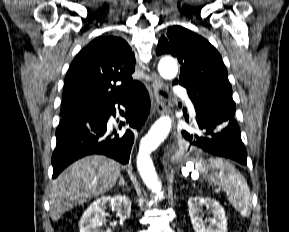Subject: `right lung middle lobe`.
<instances>
[{
  "instance_id": "1",
  "label": "right lung middle lobe",
  "mask_w": 289,
  "mask_h": 232,
  "mask_svg": "<svg viewBox=\"0 0 289 232\" xmlns=\"http://www.w3.org/2000/svg\"><path fill=\"white\" fill-rule=\"evenodd\" d=\"M84 110H75V111H61L60 116L61 117H69V116H73L76 114H79L81 112H83Z\"/></svg>"
}]
</instances>
